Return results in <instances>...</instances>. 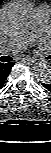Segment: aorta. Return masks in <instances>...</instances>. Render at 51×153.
<instances>
[{"mask_svg":"<svg viewBox=\"0 0 51 153\" xmlns=\"http://www.w3.org/2000/svg\"><path fill=\"white\" fill-rule=\"evenodd\" d=\"M2 27L8 34H21L31 24V9L25 3L13 2L1 11ZM35 78L42 83L51 81V64L48 60H40L33 66Z\"/></svg>","mask_w":51,"mask_h":153,"instance_id":"762f6f07","label":"aorta"}]
</instances>
